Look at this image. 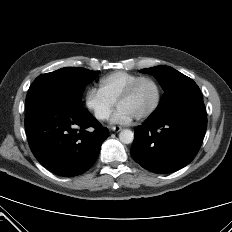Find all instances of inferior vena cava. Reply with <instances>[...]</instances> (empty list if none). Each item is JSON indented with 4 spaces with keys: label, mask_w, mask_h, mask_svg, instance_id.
<instances>
[{
    "label": "inferior vena cava",
    "mask_w": 232,
    "mask_h": 232,
    "mask_svg": "<svg viewBox=\"0 0 232 232\" xmlns=\"http://www.w3.org/2000/svg\"><path fill=\"white\" fill-rule=\"evenodd\" d=\"M97 118L104 119V118H106V115L105 114H99V115H97Z\"/></svg>",
    "instance_id": "inferior-vena-cava-1"
}]
</instances>
